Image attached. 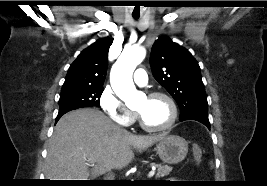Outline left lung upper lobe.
<instances>
[{"instance_id":"5c2ea615","label":"left lung upper lobe","mask_w":267,"mask_h":186,"mask_svg":"<svg viewBox=\"0 0 267 186\" xmlns=\"http://www.w3.org/2000/svg\"><path fill=\"white\" fill-rule=\"evenodd\" d=\"M155 79L170 93L180 108V120L208 119V103L196 59L166 36L158 38L150 57Z\"/></svg>"}]
</instances>
